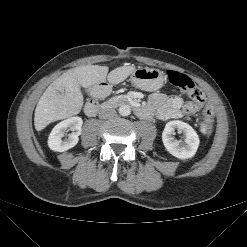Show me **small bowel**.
<instances>
[{"mask_svg":"<svg viewBox=\"0 0 247 247\" xmlns=\"http://www.w3.org/2000/svg\"><path fill=\"white\" fill-rule=\"evenodd\" d=\"M183 99L180 96H167L163 93H153L150 96V107L147 109L150 117L152 111H155L156 116L161 120L178 119L183 116L181 106Z\"/></svg>","mask_w":247,"mask_h":247,"instance_id":"obj_1","label":"small bowel"}]
</instances>
